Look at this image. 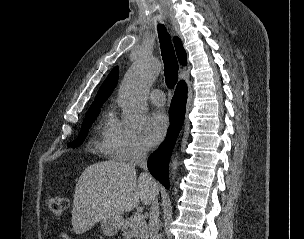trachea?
<instances>
[{"label": "trachea", "mask_w": 304, "mask_h": 239, "mask_svg": "<svg viewBox=\"0 0 304 239\" xmlns=\"http://www.w3.org/2000/svg\"><path fill=\"white\" fill-rule=\"evenodd\" d=\"M158 35L164 62L165 82L169 89H173L178 81V61L170 35L163 25H158Z\"/></svg>", "instance_id": "trachea-1"}]
</instances>
